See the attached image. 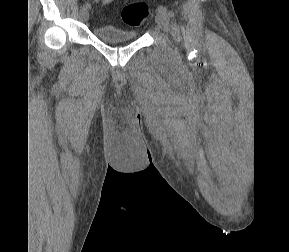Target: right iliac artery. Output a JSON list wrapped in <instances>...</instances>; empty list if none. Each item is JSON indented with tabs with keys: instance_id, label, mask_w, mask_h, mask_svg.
Segmentation results:
<instances>
[{
	"instance_id": "obj_1",
	"label": "right iliac artery",
	"mask_w": 289,
	"mask_h": 252,
	"mask_svg": "<svg viewBox=\"0 0 289 252\" xmlns=\"http://www.w3.org/2000/svg\"><path fill=\"white\" fill-rule=\"evenodd\" d=\"M90 7H91L90 3H85L83 6V8L87 10L90 9Z\"/></svg>"
}]
</instances>
